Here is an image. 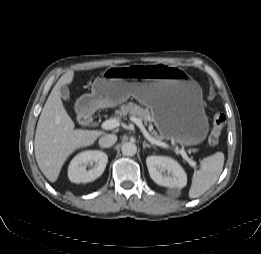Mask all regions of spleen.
<instances>
[{"mask_svg":"<svg viewBox=\"0 0 261 254\" xmlns=\"http://www.w3.org/2000/svg\"><path fill=\"white\" fill-rule=\"evenodd\" d=\"M224 165V154L217 152L201 161V168L194 172L189 190L190 198H198L218 180Z\"/></svg>","mask_w":261,"mask_h":254,"instance_id":"1","label":"spleen"}]
</instances>
